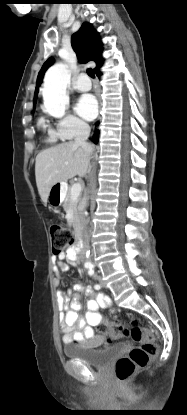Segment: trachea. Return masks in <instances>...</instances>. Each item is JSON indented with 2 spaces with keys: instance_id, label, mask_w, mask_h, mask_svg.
<instances>
[{
  "instance_id": "obj_1",
  "label": "trachea",
  "mask_w": 187,
  "mask_h": 415,
  "mask_svg": "<svg viewBox=\"0 0 187 415\" xmlns=\"http://www.w3.org/2000/svg\"><path fill=\"white\" fill-rule=\"evenodd\" d=\"M87 74H88L91 78H94V77H95V75H94V73H93V70H92L91 68L87 69Z\"/></svg>"
}]
</instances>
